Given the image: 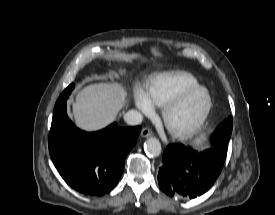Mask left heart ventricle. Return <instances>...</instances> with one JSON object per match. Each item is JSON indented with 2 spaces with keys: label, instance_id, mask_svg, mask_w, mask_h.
Returning <instances> with one entry per match:
<instances>
[{
  "label": "left heart ventricle",
  "instance_id": "1",
  "mask_svg": "<svg viewBox=\"0 0 275 215\" xmlns=\"http://www.w3.org/2000/svg\"><path fill=\"white\" fill-rule=\"evenodd\" d=\"M206 106V95L196 92L188 96L170 115L171 125L184 130L194 125L202 115Z\"/></svg>",
  "mask_w": 275,
  "mask_h": 215
}]
</instances>
